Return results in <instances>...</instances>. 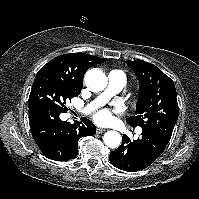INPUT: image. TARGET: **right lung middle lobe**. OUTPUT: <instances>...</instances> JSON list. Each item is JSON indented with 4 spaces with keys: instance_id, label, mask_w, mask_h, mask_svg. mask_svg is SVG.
I'll return each mask as SVG.
<instances>
[{
    "instance_id": "right-lung-middle-lobe-1",
    "label": "right lung middle lobe",
    "mask_w": 199,
    "mask_h": 199,
    "mask_svg": "<svg viewBox=\"0 0 199 199\" xmlns=\"http://www.w3.org/2000/svg\"><path fill=\"white\" fill-rule=\"evenodd\" d=\"M82 87L55 77H36L29 96V107L46 104L67 112L66 101L80 94Z\"/></svg>"
}]
</instances>
